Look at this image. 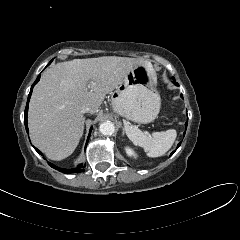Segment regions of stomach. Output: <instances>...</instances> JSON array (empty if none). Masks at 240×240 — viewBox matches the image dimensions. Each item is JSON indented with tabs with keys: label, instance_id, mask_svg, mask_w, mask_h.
I'll list each match as a JSON object with an SVG mask.
<instances>
[{
	"label": "stomach",
	"instance_id": "1",
	"mask_svg": "<svg viewBox=\"0 0 240 240\" xmlns=\"http://www.w3.org/2000/svg\"><path fill=\"white\" fill-rule=\"evenodd\" d=\"M156 86L157 77L153 70L145 65H137L111 92L114 111L137 123L152 122L161 105Z\"/></svg>",
	"mask_w": 240,
	"mask_h": 240
}]
</instances>
